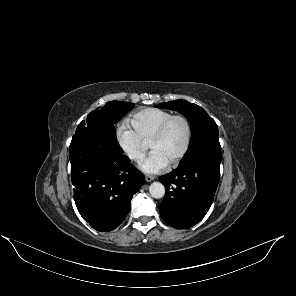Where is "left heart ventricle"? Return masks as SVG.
<instances>
[{
	"label": "left heart ventricle",
	"mask_w": 296,
	"mask_h": 296,
	"mask_svg": "<svg viewBox=\"0 0 296 296\" xmlns=\"http://www.w3.org/2000/svg\"><path fill=\"white\" fill-rule=\"evenodd\" d=\"M187 136V129L182 120H175L166 136L151 147L152 152H159L171 163L181 153Z\"/></svg>",
	"instance_id": "left-heart-ventricle-1"
}]
</instances>
